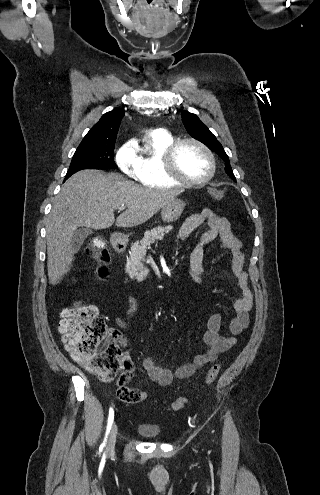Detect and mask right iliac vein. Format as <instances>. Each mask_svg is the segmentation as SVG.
I'll use <instances>...</instances> for the list:
<instances>
[{"instance_id": "obj_1", "label": "right iliac vein", "mask_w": 320, "mask_h": 495, "mask_svg": "<svg viewBox=\"0 0 320 495\" xmlns=\"http://www.w3.org/2000/svg\"><path fill=\"white\" fill-rule=\"evenodd\" d=\"M116 437H117V426L114 423L113 426H112V429H111V432H110V436H109V439H108V443H107V447H106V452L107 453L113 452V450L115 448Z\"/></svg>"}]
</instances>
